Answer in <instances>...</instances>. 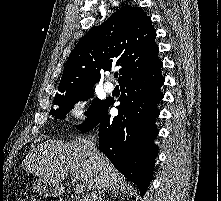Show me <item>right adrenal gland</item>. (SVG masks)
I'll return each instance as SVG.
<instances>
[{
    "label": "right adrenal gland",
    "instance_id": "obj_1",
    "mask_svg": "<svg viewBox=\"0 0 221 201\" xmlns=\"http://www.w3.org/2000/svg\"><path fill=\"white\" fill-rule=\"evenodd\" d=\"M110 192V194L112 195H117L118 194V188H104L100 193H99V197H98V201H102V196L104 195V193Z\"/></svg>",
    "mask_w": 221,
    "mask_h": 201
}]
</instances>
